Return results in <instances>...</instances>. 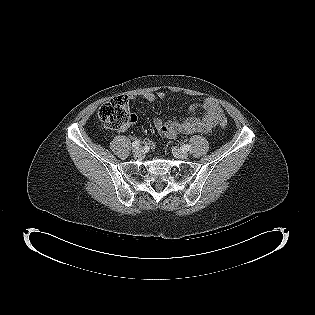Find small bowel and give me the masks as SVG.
Returning <instances> with one entry per match:
<instances>
[{
	"instance_id": "small-bowel-1",
	"label": "small bowel",
	"mask_w": 315,
	"mask_h": 315,
	"mask_svg": "<svg viewBox=\"0 0 315 315\" xmlns=\"http://www.w3.org/2000/svg\"><path fill=\"white\" fill-rule=\"evenodd\" d=\"M130 98H133V96ZM143 98L148 102H153L156 99L164 100L166 94L164 92H158L157 94L145 93ZM222 118H224V115L220 105L215 100L207 98L200 104L192 105L190 116L182 121H163L160 118H154L153 124L159 136L173 139L179 134L209 132ZM146 144L152 145L153 142L146 140Z\"/></svg>"
}]
</instances>
